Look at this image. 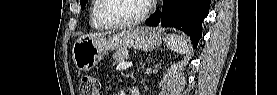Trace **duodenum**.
I'll use <instances>...</instances> for the list:
<instances>
[{"label": "duodenum", "mask_w": 277, "mask_h": 95, "mask_svg": "<svg viewBox=\"0 0 277 95\" xmlns=\"http://www.w3.org/2000/svg\"><path fill=\"white\" fill-rule=\"evenodd\" d=\"M129 94L130 95H138V94H140L139 86L137 84H132L131 85V91H130Z\"/></svg>", "instance_id": "1"}]
</instances>
